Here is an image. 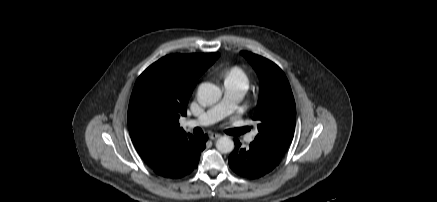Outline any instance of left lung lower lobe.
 I'll list each match as a JSON object with an SVG mask.
<instances>
[{
    "instance_id": "0a47b994",
    "label": "left lung lower lobe",
    "mask_w": 437,
    "mask_h": 202,
    "mask_svg": "<svg viewBox=\"0 0 437 202\" xmlns=\"http://www.w3.org/2000/svg\"><path fill=\"white\" fill-rule=\"evenodd\" d=\"M234 142L235 149L230 154L229 165L240 176L256 179L269 173L279 164L252 143L249 148H242L238 139L235 138Z\"/></svg>"
}]
</instances>
